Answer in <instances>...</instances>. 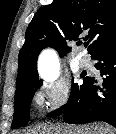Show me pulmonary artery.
<instances>
[{
	"instance_id": "e3ab8cb5",
	"label": "pulmonary artery",
	"mask_w": 116,
	"mask_h": 134,
	"mask_svg": "<svg viewBox=\"0 0 116 134\" xmlns=\"http://www.w3.org/2000/svg\"><path fill=\"white\" fill-rule=\"evenodd\" d=\"M79 66L81 68H83V69H87V68H91L92 67V64H91L89 58H87V57L84 56V57H81L79 59Z\"/></svg>"
}]
</instances>
